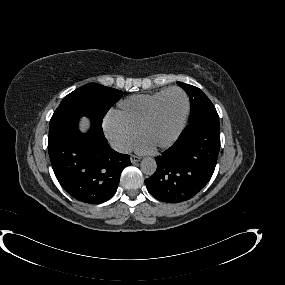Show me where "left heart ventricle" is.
<instances>
[{
  "label": "left heart ventricle",
  "instance_id": "1",
  "mask_svg": "<svg viewBox=\"0 0 285 285\" xmlns=\"http://www.w3.org/2000/svg\"><path fill=\"white\" fill-rule=\"evenodd\" d=\"M186 102L180 92L169 93L162 101L156 116L143 131L141 138L158 147L176 134L185 113Z\"/></svg>",
  "mask_w": 285,
  "mask_h": 285
}]
</instances>
